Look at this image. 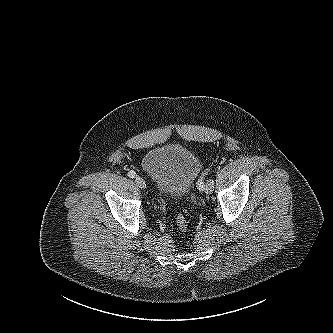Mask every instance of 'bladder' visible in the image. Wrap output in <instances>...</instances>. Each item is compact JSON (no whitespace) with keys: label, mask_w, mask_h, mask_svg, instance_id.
I'll return each mask as SVG.
<instances>
[{"label":"bladder","mask_w":333,"mask_h":333,"mask_svg":"<svg viewBox=\"0 0 333 333\" xmlns=\"http://www.w3.org/2000/svg\"><path fill=\"white\" fill-rule=\"evenodd\" d=\"M142 167L160 194L177 199L192 189L201 170V162L186 147L165 145L148 151L142 159Z\"/></svg>","instance_id":"obj_1"}]
</instances>
